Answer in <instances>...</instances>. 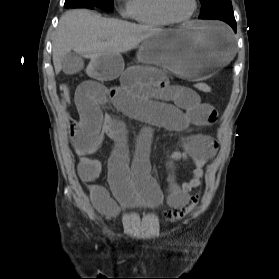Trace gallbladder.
Listing matches in <instances>:
<instances>
[{"mask_svg":"<svg viewBox=\"0 0 279 279\" xmlns=\"http://www.w3.org/2000/svg\"><path fill=\"white\" fill-rule=\"evenodd\" d=\"M84 68V61L80 54L70 52L62 60V70L66 75H73Z\"/></svg>","mask_w":279,"mask_h":279,"instance_id":"gallbladder-1","label":"gallbladder"}]
</instances>
